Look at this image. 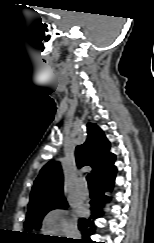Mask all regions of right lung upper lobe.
<instances>
[{"instance_id":"right-lung-upper-lobe-1","label":"right lung upper lobe","mask_w":154,"mask_h":243,"mask_svg":"<svg viewBox=\"0 0 154 243\" xmlns=\"http://www.w3.org/2000/svg\"><path fill=\"white\" fill-rule=\"evenodd\" d=\"M110 142L94 123L87 124V140L76 147L78 168L92 167L93 180L115 168V155L110 153ZM63 197V174L57 161L48 162L40 171L32 187L28 208H33Z\"/></svg>"}]
</instances>
